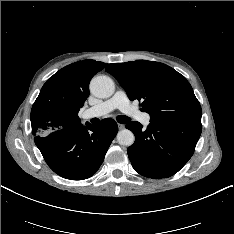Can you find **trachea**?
<instances>
[{"label": "trachea", "instance_id": "obj_1", "mask_svg": "<svg viewBox=\"0 0 234 234\" xmlns=\"http://www.w3.org/2000/svg\"><path fill=\"white\" fill-rule=\"evenodd\" d=\"M131 119L127 116H124V115H119L117 117V121L121 124H125V123H128Z\"/></svg>", "mask_w": 234, "mask_h": 234}]
</instances>
